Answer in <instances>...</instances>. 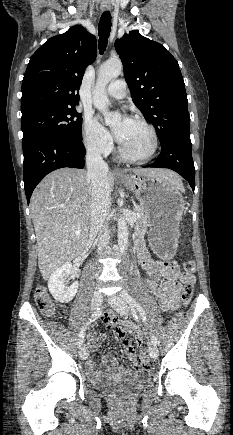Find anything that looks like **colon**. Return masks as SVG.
I'll return each instance as SVG.
<instances>
[{
    "label": "colon",
    "instance_id": "5ec220e1",
    "mask_svg": "<svg viewBox=\"0 0 233 435\" xmlns=\"http://www.w3.org/2000/svg\"><path fill=\"white\" fill-rule=\"evenodd\" d=\"M183 270L186 273L187 277L184 281L183 285V291H182V302L185 306H188L190 304L192 294H193V274L196 271V263L192 260H188L183 263ZM34 301L38 309L45 315V316H52L54 315V304L50 300L47 290L43 285L37 286L35 290L34 295ZM135 366L139 370H145L148 372V365H147V353L141 352L138 358V361L136 362ZM125 395L123 394H117L116 399L119 402H123L125 400Z\"/></svg>",
    "mask_w": 233,
    "mask_h": 435
}]
</instances>
